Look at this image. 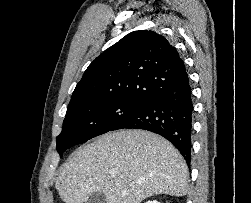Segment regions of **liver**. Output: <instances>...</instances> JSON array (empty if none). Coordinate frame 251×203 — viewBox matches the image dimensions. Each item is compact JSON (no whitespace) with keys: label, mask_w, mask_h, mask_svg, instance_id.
<instances>
[{"label":"liver","mask_w":251,"mask_h":203,"mask_svg":"<svg viewBox=\"0 0 251 203\" xmlns=\"http://www.w3.org/2000/svg\"><path fill=\"white\" fill-rule=\"evenodd\" d=\"M187 179L185 160L165 138L143 130H120L73 152L55 188L65 203H85L98 191L106 203H141L159 194L186 195Z\"/></svg>","instance_id":"liver-1"}]
</instances>
